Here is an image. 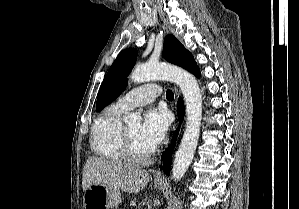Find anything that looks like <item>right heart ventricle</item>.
I'll return each instance as SVG.
<instances>
[{"label": "right heart ventricle", "mask_w": 299, "mask_h": 209, "mask_svg": "<svg viewBox=\"0 0 299 209\" xmlns=\"http://www.w3.org/2000/svg\"><path fill=\"white\" fill-rule=\"evenodd\" d=\"M125 111L116 104L110 105L94 122L91 131V148L100 157L124 162L122 153L123 124L121 115Z\"/></svg>", "instance_id": "e07e8e85"}]
</instances>
